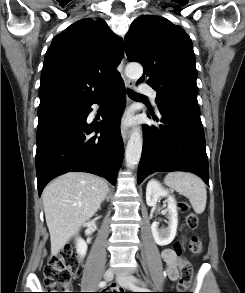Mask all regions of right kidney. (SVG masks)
I'll use <instances>...</instances> for the list:
<instances>
[{
	"mask_svg": "<svg viewBox=\"0 0 245 293\" xmlns=\"http://www.w3.org/2000/svg\"><path fill=\"white\" fill-rule=\"evenodd\" d=\"M76 250L81 257H84L87 252V243L81 237L76 239Z\"/></svg>",
	"mask_w": 245,
	"mask_h": 293,
	"instance_id": "right-kidney-1",
	"label": "right kidney"
}]
</instances>
